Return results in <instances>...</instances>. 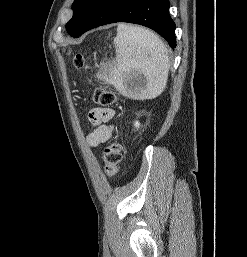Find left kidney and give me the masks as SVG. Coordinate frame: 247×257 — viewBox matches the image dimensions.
Listing matches in <instances>:
<instances>
[{
	"label": "left kidney",
	"mask_w": 247,
	"mask_h": 257,
	"mask_svg": "<svg viewBox=\"0 0 247 257\" xmlns=\"http://www.w3.org/2000/svg\"><path fill=\"white\" fill-rule=\"evenodd\" d=\"M134 125H135V127L139 128L140 123L136 121Z\"/></svg>",
	"instance_id": "1"
}]
</instances>
